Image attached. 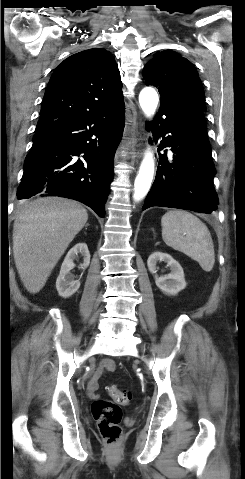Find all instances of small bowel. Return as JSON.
I'll list each match as a JSON object with an SVG mask.
<instances>
[{
    "instance_id": "obj_1",
    "label": "small bowel",
    "mask_w": 245,
    "mask_h": 479,
    "mask_svg": "<svg viewBox=\"0 0 245 479\" xmlns=\"http://www.w3.org/2000/svg\"><path fill=\"white\" fill-rule=\"evenodd\" d=\"M116 367L115 362L112 359H105L101 363V365L97 368L93 377L89 380L87 385L88 395L91 398L98 397V389H99V379L100 377L107 371L114 370Z\"/></svg>"
}]
</instances>
